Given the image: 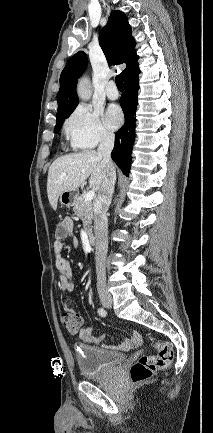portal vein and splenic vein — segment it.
Segmentation results:
<instances>
[{
	"instance_id": "18ae733b",
	"label": "portal vein and splenic vein",
	"mask_w": 213,
	"mask_h": 433,
	"mask_svg": "<svg viewBox=\"0 0 213 433\" xmlns=\"http://www.w3.org/2000/svg\"><path fill=\"white\" fill-rule=\"evenodd\" d=\"M94 196H95V192L93 190L88 191L84 196L85 201H88V202L92 201Z\"/></svg>"
}]
</instances>
